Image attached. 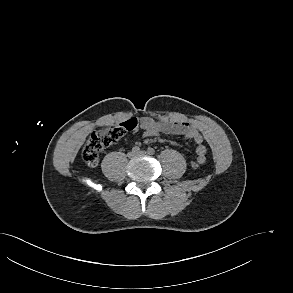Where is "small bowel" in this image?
<instances>
[{"label":"small bowel","instance_id":"obj_1","mask_svg":"<svg viewBox=\"0 0 293 293\" xmlns=\"http://www.w3.org/2000/svg\"><path fill=\"white\" fill-rule=\"evenodd\" d=\"M139 127L147 137H154L160 134L181 135L192 139L196 144L197 156H205L206 148L203 143V136L199 130L186 121H169L165 119L156 120L152 117H141L138 121Z\"/></svg>","mask_w":293,"mask_h":293}]
</instances>
